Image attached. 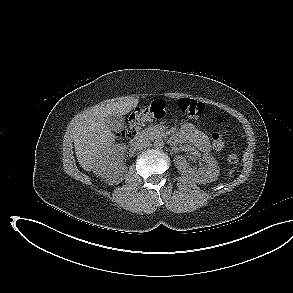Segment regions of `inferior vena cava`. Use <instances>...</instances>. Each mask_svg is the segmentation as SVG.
I'll use <instances>...</instances> for the list:
<instances>
[{
	"label": "inferior vena cava",
	"instance_id": "1",
	"mask_svg": "<svg viewBox=\"0 0 293 293\" xmlns=\"http://www.w3.org/2000/svg\"><path fill=\"white\" fill-rule=\"evenodd\" d=\"M150 145V141L147 139H140L133 144L134 149H143Z\"/></svg>",
	"mask_w": 293,
	"mask_h": 293
}]
</instances>
